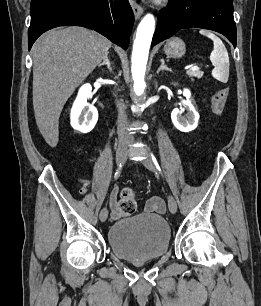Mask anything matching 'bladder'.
Here are the masks:
<instances>
[{"instance_id": "obj_1", "label": "bladder", "mask_w": 261, "mask_h": 306, "mask_svg": "<svg viewBox=\"0 0 261 306\" xmlns=\"http://www.w3.org/2000/svg\"><path fill=\"white\" fill-rule=\"evenodd\" d=\"M111 251L127 261L154 259L170 246L171 229L160 215L141 213L114 222L107 234Z\"/></svg>"}]
</instances>
